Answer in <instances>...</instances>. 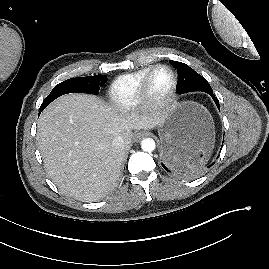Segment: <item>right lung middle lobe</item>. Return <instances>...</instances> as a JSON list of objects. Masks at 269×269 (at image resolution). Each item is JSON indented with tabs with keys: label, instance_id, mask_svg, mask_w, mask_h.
I'll list each match as a JSON object with an SVG mask.
<instances>
[{
	"label": "right lung middle lobe",
	"instance_id": "right-lung-middle-lobe-1",
	"mask_svg": "<svg viewBox=\"0 0 269 269\" xmlns=\"http://www.w3.org/2000/svg\"><path fill=\"white\" fill-rule=\"evenodd\" d=\"M106 82V76H88L71 78L56 85L51 93L43 101L40 110L42 111L49 103L61 95L67 93H91L98 94L100 86Z\"/></svg>",
	"mask_w": 269,
	"mask_h": 269
}]
</instances>
